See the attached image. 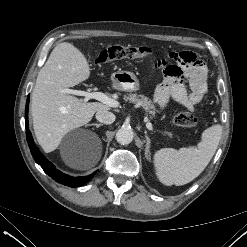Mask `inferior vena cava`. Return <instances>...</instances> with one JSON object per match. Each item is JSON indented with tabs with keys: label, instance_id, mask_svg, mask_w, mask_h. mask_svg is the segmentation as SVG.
Listing matches in <instances>:
<instances>
[{
	"label": "inferior vena cava",
	"instance_id": "obj_1",
	"mask_svg": "<svg viewBox=\"0 0 247 247\" xmlns=\"http://www.w3.org/2000/svg\"><path fill=\"white\" fill-rule=\"evenodd\" d=\"M96 119L104 124H112L115 121V115L107 110H99L96 113Z\"/></svg>",
	"mask_w": 247,
	"mask_h": 247
}]
</instances>
